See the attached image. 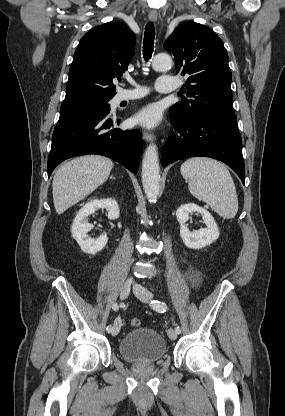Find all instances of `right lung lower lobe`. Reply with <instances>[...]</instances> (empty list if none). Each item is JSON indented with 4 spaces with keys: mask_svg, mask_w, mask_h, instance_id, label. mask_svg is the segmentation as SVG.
Wrapping results in <instances>:
<instances>
[{
    "mask_svg": "<svg viewBox=\"0 0 285 416\" xmlns=\"http://www.w3.org/2000/svg\"><path fill=\"white\" fill-rule=\"evenodd\" d=\"M109 113H89L60 117L52 136L48 157V178L62 161L79 155L107 156L134 173L138 172L142 151L140 133L114 128L120 119Z\"/></svg>",
    "mask_w": 285,
    "mask_h": 416,
    "instance_id": "1",
    "label": "right lung lower lobe"
}]
</instances>
